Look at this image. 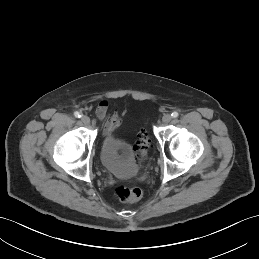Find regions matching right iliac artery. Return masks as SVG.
I'll use <instances>...</instances> for the list:
<instances>
[{
    "label": "right iliac artery",
    "mask_w": 259,
    "mask_h": 259,
    "mask_svg": "<svg viewBox=\"0 0 259 259\" xmlns=\"http://www.w3.org/2000/svg\"><path fill=\"white\" fill-rule=\"evenodd\" d=\"M74 116H75L76 118H80V117H81V114L76 111V112L74 113Z\"/></svg>",
    "instance_id": "82829eb1"
}]
</instances>
